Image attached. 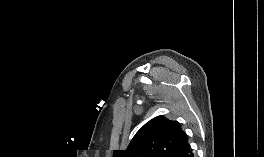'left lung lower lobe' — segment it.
Here are the masks:
<instances>
[{
	"label": "left lung lower lobe",
	"instance_id": "left-lung-lower-lobe-1",
	"mask_svg": "<svg viewBox=\"0 0 264 157\" xmlns=\"http://www.w3.org/2000/svg\"><path fill=\"white\" fill-rule=\"evenodd\" d=\"M190 157H195L194 154H192Z\"/></svg>",
	"mask_w": 264,
	"mask_h": 157
}]
</instances>
